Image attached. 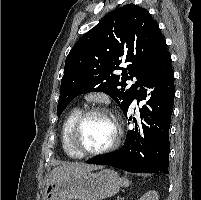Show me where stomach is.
Returning a JSON list of instances; mask_svg holds the SVG:
<instances>
[{
  "mask_svg": "<svg viewBox=\"0 0 201 200\" xmlns=\"http://www.w3.org/2000/svg\"><path fill=\"white\" fill-rule=\"evenodd\" d=\"M121 179L111 169L65 175L47 185L43 200H102L115 195Z\"/></svg>",
  "mask_w": 201,
  "mask_h": 200,
  "instance_id": "0dacf381",
  "label": "stomach"
}]
</instances>
